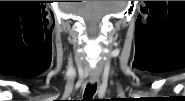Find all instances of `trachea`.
<instances>
[{
	"instance_id": "trachea-1",
	"label": "trachea",
	"mask_w": 185,
	"mask_h": 101,
	"mask_svg": "<svg viewBox=\"0 0 185 101\" xmlns=\"http://www.w3.org/2000/svg\"><path fill=\"white\" fill-rule=\"evenodd\" d=\"M96 89V84H88L84 92V101H92V97L94 96Z\"/></svg>"
}]
</instances>
